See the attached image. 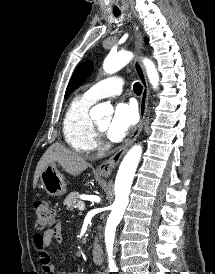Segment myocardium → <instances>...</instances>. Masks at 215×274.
<instances>
[{"label":"myocardium","mask_w":215,"mask_h":274,"mask_svg":"<svg viewBox=\"0 0 215 274\" xmlns=\"http://www.w3.org/2000/svg\"><path fill=\"white\" fill-rule=\"evenodd\" d=\"M93 126H94V129H95L96 132H103V129H101V128L97 125V123L93 122Z\"/></svg>","instance_id":"obj_1"}]
</instances>
